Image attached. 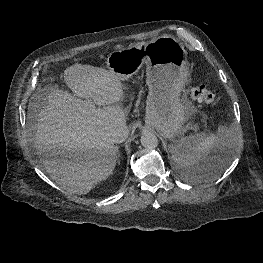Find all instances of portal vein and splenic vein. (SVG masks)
I'll use <instances>...</instances> for the list:
<instances>
[{"label": "portal vein and splenic vein", "mask_w": 263, "mask_h": 263, "mask_svg": "<svg viewBox=\"0 0 263 263\" xmlns=\"http://www.w3.org/2000/svg\"><path fill=\"white\" fill-rule=\"evenodd\" d=\"M87 104H88L90 107H93V102H92L90 99L87 100Z\"/></svg>", "instance_id": "obj_1"}]
</instances>
